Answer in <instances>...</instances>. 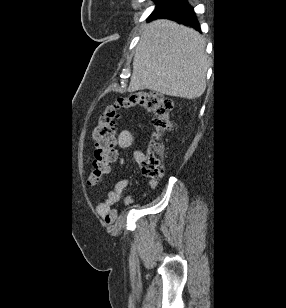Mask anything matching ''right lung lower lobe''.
<instances>
[{"mask_svg": "<svg viewBox=\"0 0 286 308\" xmlns=\"http://www.w3.org/2000/svg\"><path fill=\"white\" fill-rule=\"evenodd\" d=\"M156 18L172 19L200 30L193 8L187 4L186 0H173L163 9L153 12L148 21Z\"/></svg>", "mask_w": 286, "mask_h": 308, "instance_id": "obj_1", "label": "right lung lower lobe"}]
</instances>
